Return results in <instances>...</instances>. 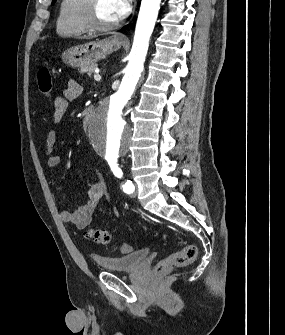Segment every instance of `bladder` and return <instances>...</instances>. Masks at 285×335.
Here are the masks:
<instances>
[{
  "instance_id": "obj_1",
  "label": "bladder",
  "mask_w": 285,
  "mask_h": 335,
  "mask_svg": "<svg viewBox=\"0 0 285 335\" xmlns=\"http://www.w3.org/2000/svg\"><path fill=\"white\" fill-rule=\"evenodd\" d=\"M149 253L146 248H140L136 251L126 253L124 255L104 256L102 258H94V265H99V268L104 272H133L139 266L144 265Z\"/></svg>"
}]
</instances>
